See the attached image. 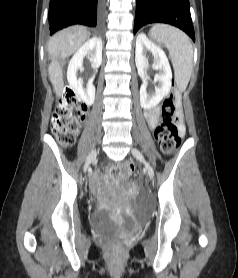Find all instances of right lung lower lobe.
<instances>
[{
  "label": "right lung lower lobe",
  "mask_w": 238,
  "mask_h": 278,
  "mask_svg": "<svg viewBox=\"0 0 238 278\" xmlns=\"http://www.w3.org/2000/svg\"><path fill=\"white\" fill-rule=\"evenodd\" d=\"M103 0H50V34L74 24L96 26L101 20Z\"/></svg>",
  "instance_id": "right-lung-lower-lobe-1"
}]
</instances>
